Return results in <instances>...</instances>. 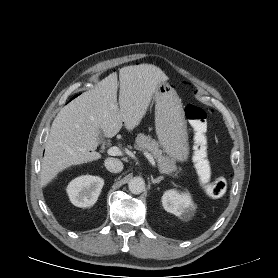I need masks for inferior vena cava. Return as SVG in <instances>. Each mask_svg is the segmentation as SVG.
Instances as JSON below:
<instances>
[{"label":"inferior vena cava","instance_id":"obj_1","mask_svg":"<svg viewBox=\"0 0 278 278\" xmlns=\"http://www.w3.org/2000/svg\"><path fill=\"white\" fill-rule=\"evenodd\" d=\"M105 167L112 173H118L123 170V163L119 159L107 158L105 160Z\"/></svg>","mask_w":278,"mask_h":278}]
</instances>
